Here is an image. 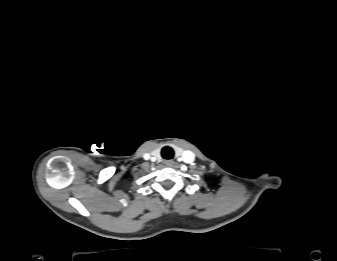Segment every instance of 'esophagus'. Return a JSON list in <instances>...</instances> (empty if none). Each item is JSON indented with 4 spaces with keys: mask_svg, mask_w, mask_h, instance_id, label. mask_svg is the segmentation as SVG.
Masks as SVG:
<instances>
[{
    "mask_svg": "<svg viewBox=\"0 0 337 261\" xmlns=\"http://www.w3.org/2000/svg\"><path fill=\"white\" fill-rule=\"evenodd\" d=\"M164 164H165L166 166H172V165L174 164V161H173V160H166V161L164 162Z\"/></svg>",
    "mask_w": 337,
    "mask_h": 261,
    "instance_id": "1",
    "label": "esophagus"
}]
</instances>
